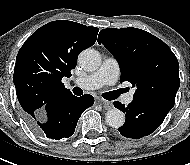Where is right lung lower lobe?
<instances>
[{
	"label": "right lung lower lobe",
	"instance_id": "98d812e1",
	"mask_svg": "<svg viewBox=\"0 0 190 165\" xmlns=\"http://www.w3.org/2000/svg\"><path fill=\"white\" fill-rule=\"evenodd\" d=\"M93 103L94 98L89 94L81 97L72 93L60 94L38 112L24 113V119L38 136L60 140L73 135L79 117Z\"/></svg>",
	"mask_w": 190,
	"mask_h": 165
}]
</instances>
